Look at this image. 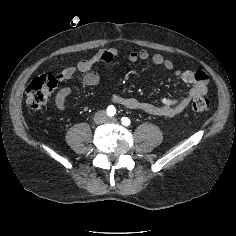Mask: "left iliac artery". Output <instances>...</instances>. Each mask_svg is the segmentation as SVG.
I'll return each instance as SVG.
<instances>
[{
  "label": "left iliac artery",
  "mask_w": 236,
  "mask_h": 236,
  "mask_svg": "<svg viewBox=\"0 0 236 236\" xmlns=\"http://www.w3.org/2000/svg\"><path fill=\"white\" fill-rule=\"evenodd\" d=\"M121 123H122L123 125H125V126H129L130 123H131V121H130V119L127 118V117H122V118H121Z\"/></svg>",
  "instance_id": "44dca946"
}]
</instances>
